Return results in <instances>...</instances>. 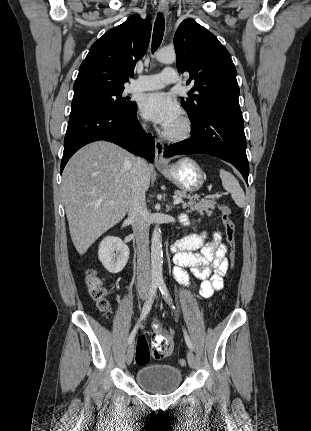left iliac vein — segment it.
Returning a JSON list of instances; mask_svg holds the SVG:
<instances>
[{
	"mask_svg": "<svg viewBox=\"0 0 311 431\" xmlns=\"http://www.w3.org/2000/svg\"><path fill=\"white\" fill-rule=\"evenodd\" d=\"M187 360H188L189 366L191 368H193L194 365H195V356H194V354H193L192 351H188V353H187Z\"/></svg>",
	"mask_w": 311,
	"mask_h": 431,
	"instance_id": "left-iliac-vein-1",
	"label": "left iliac vein"
}]
</instances>
